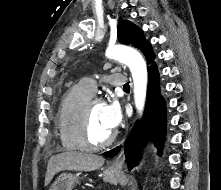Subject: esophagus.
Listing matches in <instances>:
<instances>
[{
    "label": "esophagus",
    "mask_w": 221,
    "mask_h": 190,
    "mask_svg": "<svg viewBox=\"0 0 221 190\" xmlns=\"http://www.w3.org/2000/svg\"><path fill=\"white\" fill-rule=\"evenodd\" d=\"M123 164H124V157L121 154L113 161L111 165V169L116 170V171H121Z\"/></svg>",
    "instance_id": "34e87169"
}]
</instances>
